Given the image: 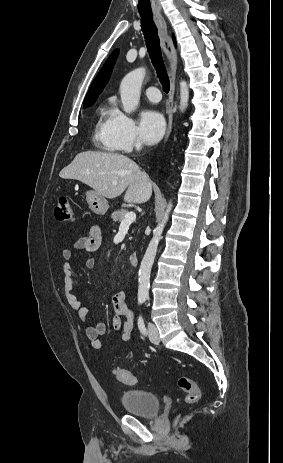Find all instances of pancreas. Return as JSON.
<instances>
[{"instance_id": "1", "label": "pancreas", "mask_w": 283, "mask_h": 463, "mask_svg": "<svg viewBox=\"0 0 283 463\" xmlns=\"http://www.w3.org/2000/svg\"><path fill=\"white\" fill-rule=\"evenodd\" d=\"M128 213L127 210L121 209L112 213L111 218L114 222H122L125 218V215Z\"/></svg>"}]
</instances>
